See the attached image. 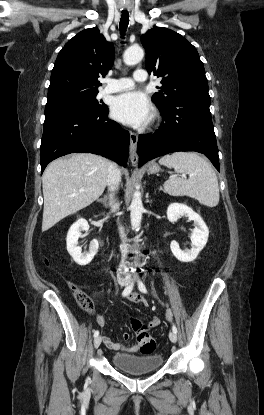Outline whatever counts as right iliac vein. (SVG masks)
Here are the masks:
<instances>
[{
	"label": "right iliac vein",
	"instance_id": "right-iliac-vein-1",
	"mask_svg": "<svg viewBox=\"0 0 264 415\" xmlns=\"http://www.w3.org/2000/svg\"><path fill=\"white\" fill-rule=\"evenodd\" d=\"M120 285H121V286H125V285H127V281H126V280H122V281L120 282ZM101 342H102V338H101V336H97V337H95V339H94V347H95V348H98V347L100 346Z\"/></svg>",
	"mask_w": 264,
	"mask_h": 415
}]
</instances>
